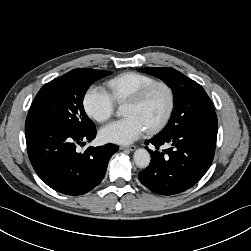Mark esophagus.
Masks as SVG:
<instances>
[{
	"label": "esophagus",
	"mask_w": 251,
	"mask_h": 251,
	"mask_svg": "<svg viewBox=\"0 0 251 251\" xmlns=\"http://www.w3.org/2000/svg\"><path fill=\"white\" fill-rule=\"evenodd\" d=\"M136 149V146L131 145V146H120V150H129V151H134Z\"/></svg>",
	"instance_id": "1"
}]
</instances>
